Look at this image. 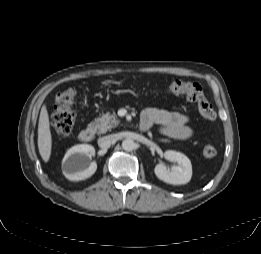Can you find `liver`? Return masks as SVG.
<instances>
[{"instance_id": "liver-1", "label": "liver", "mask_w": 261, "mask_h": 254, "mask_svg": "<svg viewBox=\"0 0 261 254\" xmlns=\"http://www.w3.org/2000/svg\"><path fill=\"white\" fill-rule=\"evenodd\" d=\"M38 149L44 162H48L51 156L52 136L50 131L49 116L45 105L42 107L39 116Z\"/></svg>"}]
</instances>
